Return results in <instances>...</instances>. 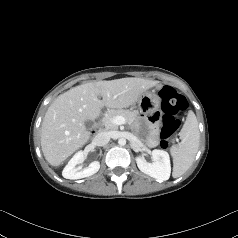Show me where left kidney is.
<instances>
[{"label":"left kidney","mask_w":238,"mask_h":238,"mask_svg":"<svg viewBox=\"0 0 238 238\" xmlns=\"http://www.w3.org/2000/svg\"><path fill=\"white\" fill-rule=\"evenodd\" d=\"M152 163L145 160L144 157H137L136 163L141 172L160 181H166L170 177L171 165L169 154L164 150L152 151Z\"/></svg>","instance_id":"obj_1"}]
</instances>
